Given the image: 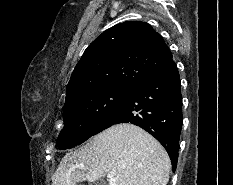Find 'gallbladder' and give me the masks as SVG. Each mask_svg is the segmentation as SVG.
<instances>
[{
  "label": "gallbladder",
  "mask_w": 233,
  "mask_h": 185,
  "mask_svg": "<svg viewBox=\"0 0 233 185\" xmlns=\"http://www.w3.org/2000/svg\"><path fill=\"white\" fill-rule=\"evenodd\" d=\"M93 185H104L101 181H96Z\"/></svg>",
  "instance_id": "bac80fb5"
}]
</instances>
